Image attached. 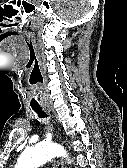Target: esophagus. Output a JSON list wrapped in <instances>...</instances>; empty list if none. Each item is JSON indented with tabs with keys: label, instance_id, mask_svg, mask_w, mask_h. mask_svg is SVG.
Wrapping results in <instances>:
<instances>
[{
	"label": "esophagus",
	"instance_id": "obj_1",
	"mask_svg": "<svg viewBox=\"0 0 127 168\" xmlns=\"http://www.w3.org/2000/svg\"><path fill=\"white\" fill-rule=\"evenodd\" d=\"M45 111L50 114V110L48 108H45ZM56 168H65L63 162L61 160H57V163H56Z\"/></svg>",
	"mask_w": 127,
	"mask_h": 168
}]
</instances>
